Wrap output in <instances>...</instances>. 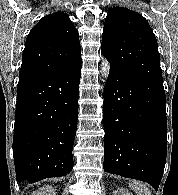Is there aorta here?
Masks as SVG:
<instances>
[{"mask_svg": "<svg viewBox=\"0 0 178 195\" xmlns=\"http://www.w3.org/2000/svg\"><path fill=\"white\" fill-rule=\"evenodd\" d=\"M108 70H109V64H108V62L102 63V72H103V75L106 76Z\"/></svg>", "mask_w": 178, "mask_h": 195, "instance_id": "aorta-1", "label": "aorta"}]
</instances>
